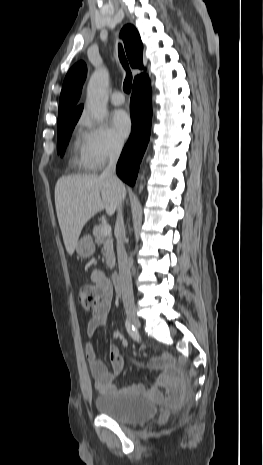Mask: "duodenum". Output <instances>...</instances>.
<instances>
[{"instance_id": "duodenum-1", "label": "duodenum", "mask_w": 263, "mask_h": 465, "mask_svg": "<svg viewBox=\"0 0 263 465\" xmlns=\"http://www.w3.org/2000/svg\"><path fill=\"white\" fill-rule=\"evenodd\" d=\"M112 283L114 285L115 291L118 295H122V287L120 276L117 273H114L111 277Z\"/></svg>"}]
</instances>
